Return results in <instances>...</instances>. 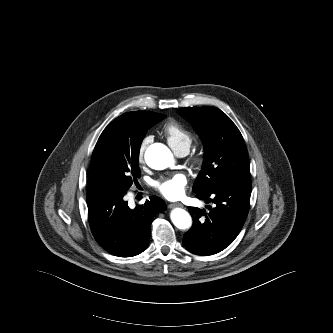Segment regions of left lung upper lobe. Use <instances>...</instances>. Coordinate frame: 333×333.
<instances>
[{
	"label": "left lung upper lobe",
	"mask_w": 333,
	"mask_h": 333,
	"mask_svg": "<svg viewBox=\"0 0 333 333\" xmlns=\"http://www.w3.org/2000/svg\"><path fill=\"white\" fill-rule=\"evenodd\" d=\"M178 113L192 124L205 147L203 167L193 186L196 194L229 181L250 178L243 137L225 113L215 107L180 108Z\"/></svg>",
	"instance_id": "5c2ea615"
}]
</instances>
